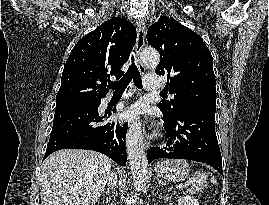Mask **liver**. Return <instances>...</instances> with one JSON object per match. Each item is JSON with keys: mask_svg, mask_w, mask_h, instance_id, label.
<instances>
[{"mask_svg": "<svg viewBox=\"0 0 269 205\" xmlns=\"http://www.w3.org/2000/svg\"><path fill=\"white\" fill-rule=\"evenodd\" d=\"M112 161L91 150L51 154L41 172V205H95L105 189Z\"/></svg>", "mask_w": 269, "mask_h": 205, "instance_id": "liver-1", "label": "liver"}]
</instances>
